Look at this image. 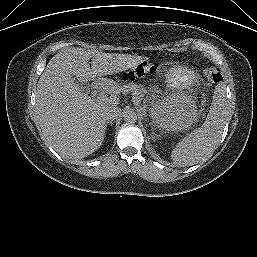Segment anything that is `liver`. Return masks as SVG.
I'll list each match as a JSON object with an SVG mask.
<instances>
[{"label": "liver", "mask_w": 257, "mask_h": 257, "mask_svg": "<svg viewBox=\"0 0 257 257\" xmlns=\"http://www.w3.org/2000/svg\"><path fill=\"white\" fill-rule=\"evenodd\" d=\"M91 66L89 65V60ZM141 56L68 48L54 55L42 73L36 92V113L45 141L63 158L83 159L100 148L107 121L103 111L116 106V95L92 100L72 78L95 80L136 67ZM113 89L115 83L107 80Z\"/></svg>", "instance_id": "obj_1"}]
</instances>
